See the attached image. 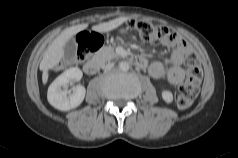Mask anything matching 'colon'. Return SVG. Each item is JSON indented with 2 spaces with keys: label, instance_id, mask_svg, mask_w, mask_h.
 Wrapping results in <instances>:
<instances>
[{
  "label": "colon",
  "instance_id": "colon-1",
  "mask_svg": "<svg viewBox=\"0 0 238 158\" xmlns=\"http://www.w3.org/2000/svg\"><path fill=\"white\" fill-rule=\"evenodd\" d=\"M129 28L137 31L142 40L157 45L173 36L167 27L156 25L144 20L131 19L127 22ZM78 50L77 59L88 58L95 50L103 44V37L96 33L82 32L77 36ZM186 66L188 68V80L179 87L177 104L185 109L192 105L200 91L202 80V68L198 56L190 51L186 55Z\"/></svg>",
  "mask_w": 238,
  "mask_h": 158
}]
</instances>
